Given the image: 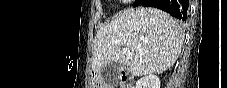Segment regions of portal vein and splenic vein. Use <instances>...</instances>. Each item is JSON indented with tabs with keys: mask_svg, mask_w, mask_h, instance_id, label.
I'll list each match as a JSON object with an SVG mask.
<instances>
[{
	"mask_svg": "<svg viewBox=\"0 0 227 88\" xmlns=\"http://www.w3.org/2000/svg\"><path fill=\"white\" fill-rule=\"evenodd\" d=\"M123 54L127 55L129 58H132V53L130 52V50L128 49H123L122 50Z\"/></svg>",
	"mask_w": 227,
	"mask_h": 88,
	"instance_id": "1",
	"label": "portal vein and splenic vein"
}]
</instances>
